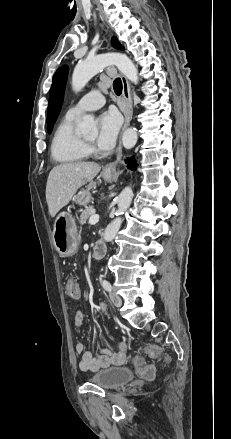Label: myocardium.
<instances>
[{"label": "myocardium", "instance_id": "f54148a6", "mask_svg": "<svg viewBox=\"0 0 231 439\" xmlns=\"http://www.w3.org/2000/svg\"><path fill=\"white\" fill-rule=\"evenodd\" d=\"M84 143L86 144V146H89V142H87V141H84Z\"/></svg>", "mask_w": 231, "mask_h": 439}]
</instances>
